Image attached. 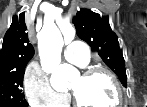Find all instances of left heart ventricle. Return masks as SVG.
Wrapping results in <instances>:
<instances>
[{"label": "left heart ventricle", "mask_w": 147, "mask_h": 107, "mask_svg": "<svg viewBox=\"0 0 147 107\" xmlns=\"http://www.w3.org/2000/svg\"><path fill=\"white\" fill-rule=\"evenodd\" d=\"M77 98L88 107H111L116 100L112 81L103 74L91 78L77 77L70 85Z\"/></svg>", "instance_id": "1"}]
</instances>
